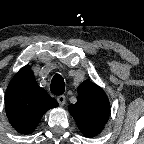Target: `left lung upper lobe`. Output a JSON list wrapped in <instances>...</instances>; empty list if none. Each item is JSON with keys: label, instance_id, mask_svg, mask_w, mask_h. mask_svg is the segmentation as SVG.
<instances>
[{"label": "left lung upper lobe", "instance_id": "1", "mask_svg": "<svg viewBox=\"0 0 144 144\" xmlns=\"http://www.w3.org/2000/svg\"><path fill=\"white\" fill-rule=\"evenodd\" d=\"M109 110L110 103L104 91L89 80L79 86L77 103L69 105L70 114L87 137L102 131L108 121Z\"/></svg>", "mask_w": 144, "mask_h": 144}]
</instances>
